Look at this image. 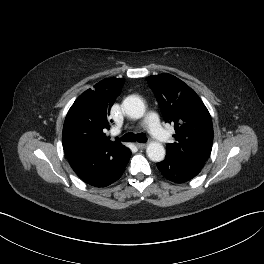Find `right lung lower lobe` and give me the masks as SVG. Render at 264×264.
Returning a JSON list of instances; mask_svg holds the SVG:
<instances>
[{
  "instance_id": "1",
  "label": "right lung lower lobe",
  "mask_w": 264,
  "mask_h": 264,
  "mask_svg": "<svg viewBox=\"0 0 264 264\" xmlns=\"http://www.w3.org/2000/svg\"><path fill=\"white\" fill-rule=\"evenodd\" d=\"M130 156V150L125 148L119 156L102 154L87 159L70 160L69 163L85 183L94 187H105L122 176Z\"/></svg>"
}]
</instances>
